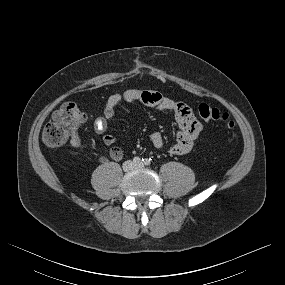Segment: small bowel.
I'll use <instances>...</instances> for the list:
<instances>
[{"instance_id":"1","label":"small bowel","mask_w":285,"mask_h":285,"mask_svg":"<svg viewBox=\"0 0 285 285\" xmlns=\"http://www.w3.org/2000/svg\"><path fill=\"white\" fill-rule=\"evenodd\" d=\"M122 102H141L144 105L155 107L159 110H168L174 114L180 131L174 143L169 147V152L173 155H182L189 152L194 141L202 131V124L195 118L192 110L186 104L164 97L156 91L128 89L121 93H115L107 99L102 116L98 117L94 122L95 135L105 133L108 124L114 118L116 107ZM150 139L154 147L158 149L163 148L165 145V139L161 132L156 131L152 133ZM102 141L105 145L111 146V159L120 161L123 157V150L115 146L116 136L112 133H105L102 136ZM81 144L79 134L77 132L74 133L70 138L71 147L79 149Z\"/></svg>"}]
</instances>
